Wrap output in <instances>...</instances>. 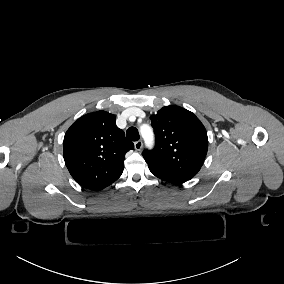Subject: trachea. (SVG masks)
<instances>
[{"label":"trachea","instance_id":"3493384b","mask_svg":"<svg viewBox=\"0 0 284 284\" xmlns=\"http://www.w3.org/2000/svg\"><path fill=\"white\" fill-rule=\"evenodd\" d=\"M126 136L131 141L139 140V132L135 127L128 128V130L126 132Z\"/></svg>","mask_w":284,"mask_h":284}]
</instances>
